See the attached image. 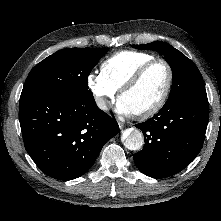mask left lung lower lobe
I'll return each instance as SVG.
<instances>
[{
    "instance_id": "obj_1",
    "label": "left lung lower lobe",
    "mask_w": 221,
    "mask_h": 221,
    "mask_svg": "<svg viewBox=\"0 0 221 221\" xmlns=\"http://www.w3.org/2000/svg\"><path fill=\"white\" fill-rule=\"evenodd\" d=\"M208 120L207 95L168 100L154 117L135 125L145 138L134 155L137 168L153 178L182 171L200 152Z\"/></svg>"
}]
</instances>
